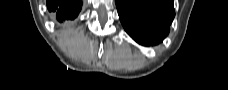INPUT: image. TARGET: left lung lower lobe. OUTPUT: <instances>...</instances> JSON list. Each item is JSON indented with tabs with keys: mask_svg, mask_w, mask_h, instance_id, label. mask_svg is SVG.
<instances>
[{
	"mask_svg": "<svg viewBox=\"0 0 228 90\" xmlns=\"http://www.w3.org/2000/svg\"><path fill=\"white\" fill-rule=\"evenodd\" d=\"M125 31L143 45L158 44L169 33L173 0H116Z\"/></svg>",
	"mask_w": 228,
	"mask_h": 90,
	"instance_id": "obj_1",
	"label": "left lung lower lobe"
}]
</instances>
